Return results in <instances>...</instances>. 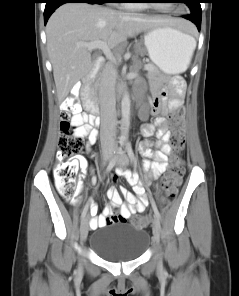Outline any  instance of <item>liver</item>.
<instances>
[{
  "instance_id": "1",
  "label": "liver",
  "mask_w": 239,
  "mask_h": 296,
  "mask_svg": "<svg viewBox=\"0 0 239 296\" xmlns=\"http://www.w3.org/2000/svg\"><path fill=\"white\" fill-rule=\"evenodd\" d=\"M185 24L179 19L122 12L96 4L66 3L60 6L46 26L47 50L58 99L62 101L93 69L90 50L79 43L100 40L114 48L142 31Z\"/></svg>"
}]
</instances>
